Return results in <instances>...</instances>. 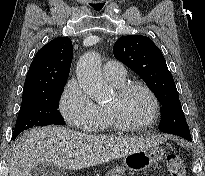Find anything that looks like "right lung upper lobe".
<instances>
[{
    "label": "right lung upper lobe",
    "instance_id": "1",
    "mask_svg": "<svg viewBox=\"0 0 205 176\" xmlns=\"http://www.w3.org/2000/svg\"><path fill=\"white\" fill-rule=\"evenodd\" d=\"M72 57L70 38L58 37L43 46L35 55L27 72L23 96L65 84Z\"/></svg>",
    "mask_w": 205,
    "mask_h": 176
}]
</instances>
